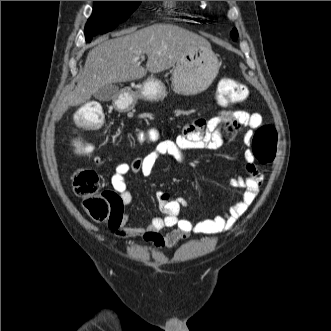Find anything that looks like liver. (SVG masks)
<instances>
[{"instance_id":"6515ba94","label":"liver","mask_w":331,"mask_h":331,"mask_svg":"<svg viewBox=\"0 0 331 331\" xmlns=\"http://www.w3.org/2000/svg\"><path fill=\"white\" fill-rule=\"evenodd\" d=\"M209 44L203 37L171 24H154L141 30L105 40L89 51L75 89L67 94L53 112L58 121L71 106L90 100L101 87L143 78L147 71L160 73L173 67L192 48ZM146 54V68L140 58Z\"/></svg>"}]
</instances>
